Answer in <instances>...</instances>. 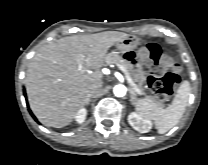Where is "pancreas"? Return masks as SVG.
Wrapping results in <instances>:
<instances>
[{
  "label": "pancreas",
  "mask_w": 208,
  "mask_h": 165,
  "mask_svg": "<svg viewBox=\"0 0 208 165\" xmlns=\"http://www.w3.org/2000/svg\"><path fill=\"white\" fill-rule=\"evenodd\" d=\"M106 64L107 65H110V64L122 65L123 67H125L128 75L133 78V81H134L133 86L136 88V90L138 91L139 94H144L143 89L141 88V85L135 83V82L139 81V75L135 72V70L133 69V66L129 62L124 60L117 53L112 52L106 56ZM147 99L156 103V101L153 97H147Z\"/></svg>",
  "instance_id": "obj_1"
}]
</instances>
